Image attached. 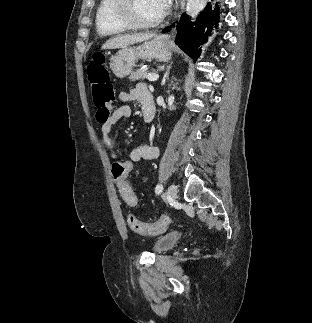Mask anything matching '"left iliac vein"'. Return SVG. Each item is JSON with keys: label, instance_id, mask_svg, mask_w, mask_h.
Returning a JSON list of instances; mask_svg holds the SVG:
<instances>
[{"label": "left iliac vein", "instance_id": "4c4485c4", "mask_svg": "<svg viewBox=\"0 0 312 323\" xmlns=\"http://www.w3.org/2000/svg\"><path fill=\"white\" fill-rule=\"evenodd\" d=\"M177 196V189L174 185H170L168 190H167V197L170 200H175Z\"/></svg>", "mask_w": 312, "mask_h": 323}]
</instances>
